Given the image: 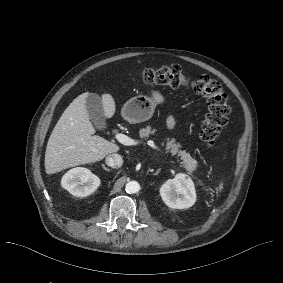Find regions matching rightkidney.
<instances>
[{"mask_svg": "<svg viewBox=\"0 0 283 283\" xmlns=\"http://www.w3.org/2000/svg\"><path fill=\"white\" fill-rule=\"evenodd\" d=\"M61 185L74 196L86 197L99 187L100 179L89 169L76 167L65 173Z\"/></svg>", "mask_w": 283, "mask_h": 283, "instance_id": "ca27d5eb", "label": "right kidney"}]
</instances>
